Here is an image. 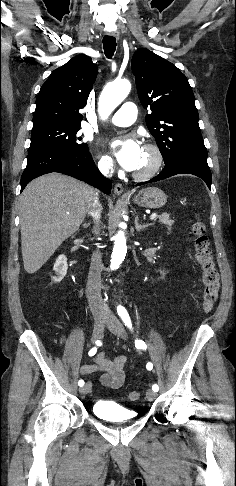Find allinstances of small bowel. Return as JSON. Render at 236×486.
<instances>
[{"instance_id": "c3829d8e", "label": "small bowel", "mask_w": 236, "mask_h": 486, "mask_svg": "<svg viewBox=\"0 0 236 486\" xmlns=\"http://www.w3.org/2000/svg\"><path fill=\"white\" fill-rule=\"evenodd\" d=\"M126 356L120 355L114 360L108 359L99 353L94 364H85L81 367V373L91 374L101 372V382L110 388H119L125 379Z\"/></svg>"}]
</instances>
